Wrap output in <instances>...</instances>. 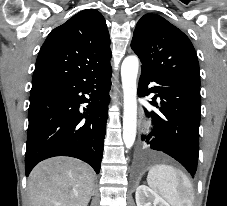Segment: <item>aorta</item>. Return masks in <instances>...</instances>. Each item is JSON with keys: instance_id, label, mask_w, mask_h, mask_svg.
I'll return each instance as SVG.
<instances>
[{"instance_id": "obj_1", "label": "aorta", "mask_w": 227, "mask_h": 206, "mask_svg": "<svg viewBox=\"0 0 227 206\" xmlns=\"http://www.w3.org/2000/svg\"><path fill=\"white\" fill-rule=\"evenodd\" d=\"M139 60L135 55L124 59L121 66V78L124 94L123 140L127 148H131L136 137L137 127V74Z\"/></svg>"}]
</instances>
